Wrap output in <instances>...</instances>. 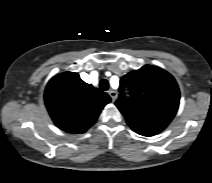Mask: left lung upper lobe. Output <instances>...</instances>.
Listing matches in <instances>:
<instances>
[{"instance_id":"obj_1","label":"left lung upper lobe","mask_w":212,"mask_h":183,"mask_svg":"<svg viewBox=\"0 0 212 183\" xmlns=\"http://www.w3.org/2000/svg\"><path fill=\"white\" fill-rule=\"evenodd\" d=\"M130 90V97L124 94ZM115 102L127 124L138 134L153 136L164 130L175 116L180 93L175 79L165 70L145 65L121 78Z\"/></svg>"}]
</instances>
